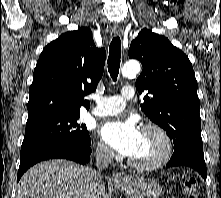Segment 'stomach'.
<instances>
[{
    "label": "stomach",
    "mask_w": 221,
    "mask_h": 198,
    "mask_svg": "<svg viewBox=\"0 0 221 198\" xmlns=\"http://www.w3.org/2000/svg\"><path fill=\"white\" fill-rule=\"evenodd\" d=\"M115 185L128 198H159L162 195L159 183L142 177H129L126 182Z\"/></svg>",
    "instance_id": "1"
}]
</instances>
